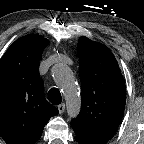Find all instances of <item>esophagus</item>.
Here are the masks:
<instances>
[{"label": "esophagus", "mask_w": 144, "mask_h": 144, "mask_svg": "<svg viewBox=\"0 0 144 144\" xmlns=\"http://www.w3.org/2000/svg\"><path fill=\"white\" fill-rule=\"evenodd\" d=\"M58 111L60 114L64 113L65 111V104L61 103L60 105H58Z\"/></svg>", "instance_id": "obj_1"}]
</instances>
